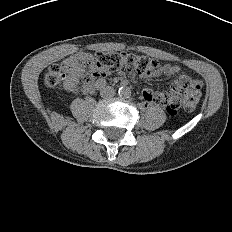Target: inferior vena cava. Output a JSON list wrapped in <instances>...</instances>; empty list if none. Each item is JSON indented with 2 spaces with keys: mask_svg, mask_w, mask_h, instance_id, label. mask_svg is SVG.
I'll return each instance as SVG.
<instances>
[{
  "mask_svg": "<svg viewBox=\"0 0 232 232\" xmlns=\"http://www.w3.org/2000/svg\"><path fill=\"white\" fill-rule=\"evenodd\" d=\"M100 95L103 98H111L115 95V90L111 86H106L101 89Z\"/></svg>",
  "mask_w": 232,
  "mask_h": 232,
  "instance_id": "obj_1",
  "label": "inferior vena cava"
}]
</instances>
